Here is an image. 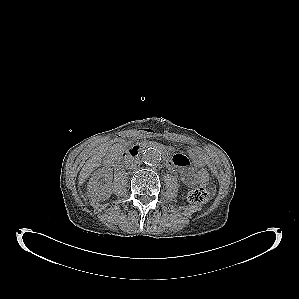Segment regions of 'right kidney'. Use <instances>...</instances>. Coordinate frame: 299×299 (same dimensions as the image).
<instances>
[{"label": "right kidney", "instance_id": "right-kidney-1", "mask_svg": "<svg viewBox=\"0 0 299 299\" xmlns=\"http://www.w3.org/2000/svg\"><path fill=\"white\" fill-rule=\"evenodd\" d=\"M102 177L104 179H101ZM111 179L112 175L109 169L97 170L89 180L88 196L97 201L109 198L112 193Z\"/></svg>", "mask_w": 299, "mask_h": 299}]
</instances>
